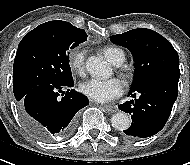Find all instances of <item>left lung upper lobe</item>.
<instances>
[{"label": "left lung upper lobe", "mask_w": 190, "mask_h": 165, "mask_svg": "<svg viewBox=\"0 0 190 165\" xmlns=\"http://www.w3.org/2000/svg\"><path fill=\"white\" fill-rule=\"evenodd\" d=\"M110 39L113 43L129 49L133 55L136 71L131 89L158 75L180 76L176 50L157 32L138 28L110 36Z\"/></svg>", "instance_id": "left-lung-upper-lobe-1"}]
</instances>
